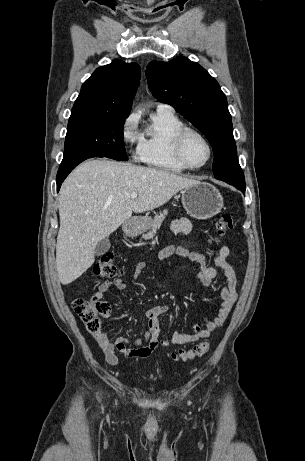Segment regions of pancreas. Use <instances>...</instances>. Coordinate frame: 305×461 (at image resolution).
Here are the masks:
<instances>
[{"mask_svg":"<svg viewBox=\"0 0 305 461\" xmlns=\"http://www.w3.org/2000/svg\"><path fill=\"white\" fill-rule=\"evenodd\" d=\"M168 214L167 210H163L159 214H156L152 224H151V230L146 234V237L150 238L153 237L156 233L157 228H160L163 220L165 219L166 215Z\"/></svg>","mask_w":305,"mask_h":461,"instance_id":"cf45deb5","label":"pancreas"}]
</instances>
